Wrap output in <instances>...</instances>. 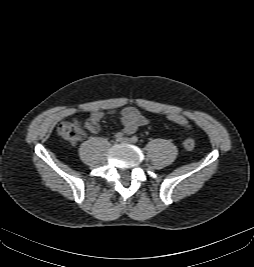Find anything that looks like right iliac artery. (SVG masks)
Here are the masks:
<instances>
[{
  "instance_id": "obj_1",
  "label": "right iliac artery",
  "mask_w": 254,
  "mask_h": 267,
  "mask_svg": "<svg viewBox=\"0 0 254 267\" xmlns=\"http://www.w3.org/2000/svg\"><path fill=\"white\" fill-rule=\"evenodd\" d=\"M114 138L116 141H120L123 138V133L121 132L116 133Z\"/></svg>"
}]
</instances>
